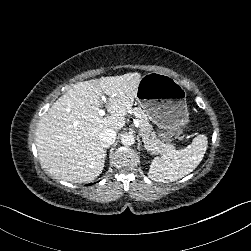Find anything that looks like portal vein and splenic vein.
<instances>
[{
    "label": "portal vein and splenic vein",
    "mask_w": 251,
    "mask_h": 251,
    "mask_svg": "<svg viewBox=\"0 0 251 251\" xmlns=\"http://www.w3.org/2000/svg\"><path fill=\"white\" fill-rule=\"evenodd\" d=\"M101 99L104 102L106 101V97L105 96H102ZM98 113H99L100 116H104L106 114L105 110H103V109H100ZM134 124H135L136 127H138L139 126V121L137 119L134 120Z\"/></svg>",
    "instance_id": "portal-vein-and-splenic-vein-1"
}]
</instances>
